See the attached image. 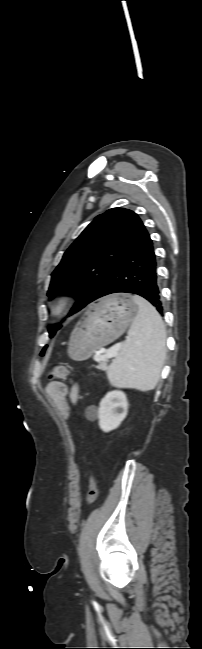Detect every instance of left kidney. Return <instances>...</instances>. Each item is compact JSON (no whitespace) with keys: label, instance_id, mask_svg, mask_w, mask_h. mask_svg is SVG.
<instances>
[{"label":"left kidney","instance_id":"1","mask_svg":"<svg viewBox=\"0 0 202 649\" xmlns=\"http://www.w3.org/2000/svg\"><path fill=\"white\" fill-rule=\"evenodd\" d=\"M128 400L126 394L120 390L108 392L99 404V427L105 432L117 428L126 418Z\"/></svg>","mask_w":202,"mask_h":649}]
</instances>
